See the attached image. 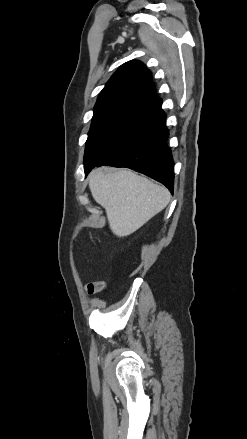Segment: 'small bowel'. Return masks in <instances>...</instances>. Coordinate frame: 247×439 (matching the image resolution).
Wrapping results in <instances>:
<instances>
[{"label": "small bowel", "instance_id": "obj_1", "mask_svg": "<svg viewBox=\"0 0 247 439\" xmlns=\"http://www.w3.org/2000/svg\"><path fill=\"white\" fill-rule=\"evenodd\" d=\"M106 287V284L104 281H97L93 283H89L86 287V292L88 294H96L104 290Z\"/></svg>", "mask_w": 247, "mask_h": 439}]
</instances>
